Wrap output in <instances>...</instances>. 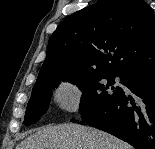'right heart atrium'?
<instances>
[{"label": "right heart atrium", "instance_id": "obj_1", "mask_svg": "<svg viewBox=\"0 0 155 149\" xmlns=\"http://www.w3.org/2000/svg\"><path fill=\"white\" fill-rule=\"evenodd\" d=\"M83 97L81 86L70 80L61 81L53 92V99L56 105L67 112H74L78 109Z\"/></svg>", "mask_w": 155, "mask_h": 149}]
</instances>
